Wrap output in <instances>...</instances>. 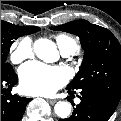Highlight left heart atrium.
<instances>
[{"mask_svg":"<svg viewBox=\"0 0 121 121\" xmlns=\"http://www.w3.org/2000/svg\"><path fill=\"white\" fill-rule=\"evenodd\" d=\"M21 85L25 92L33 95L54 94L67 81L66 72L58 66L30 62L20 69Z\"/></svg>","mask_w":121,"mask_h":121,"instance_id":"obj_1","label":"left heart atrium"}]
</instances>
